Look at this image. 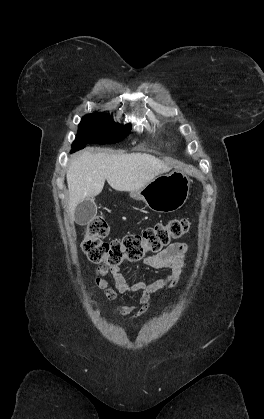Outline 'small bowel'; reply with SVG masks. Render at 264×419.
<instances>
[{"label": "small bowel", "mask_w": 264, "mask_h": 419, "mask_svg": "<svg viewBox=\"0 0 264 419\" xmlns=\"http://www.w3.org/2000/svg\"><path fill=\"white\" fill-rule=\"evenodd\" d=\"M187 250L186 243H173L159 253L144 258V264L150 268L169 270L166 276L152 282L139 281L130 284L119 268H109L101 265L95 271V284L104 291L109 300H113L117 293L140 292L141 296L136 304L118 306L114 309V312L118 315L128 316L129 319L138 318L147 312L151 294L163 288L172 289L178 284L182 270L186 265ZM107 276H111L113 279L115 290L108 286Z\"/></svg>", "instance_id": "1"}]
</instances>
